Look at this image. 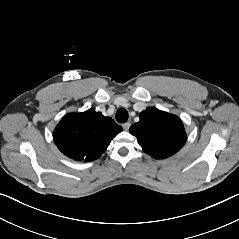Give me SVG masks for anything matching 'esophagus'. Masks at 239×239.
I'll use <instances>...</instances> for the list:
<instances>
[{
  "mask_svg": "<svg viewBox=\"0 0 239 239\" xmlns=\"http://www.w3.org/2000/svg\"><path fill=\"white\" fill-rule=\"evenodd\" d=\"M130 126H131L130 122H126L122 125L123 129L126 131L129 130Z\"/></svg>",
  "mask_w": 239,
  "mask_h": 239,
  "instance_id": "esophagus-1",
  "label": "esophagus"
}]
</instances>
